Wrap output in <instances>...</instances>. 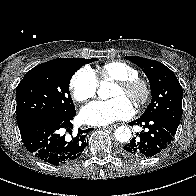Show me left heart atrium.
<instances>
[{
  "mask_svg": "<svg viewBox=\"0 0 196 196\" xmlns=\"http://www.w3.org/2000/svg\"><path fill=\"white\" fill-rule=\"evenodd\" d=\"M134 108L129 100L116 97L107 101H94L81 109L82 121L89 125L105 126L131 117Z\"/></svg>",
  "mask_w": 196,
  "mask_h": 196,
  "instance_id": "obj_1",
  "label": "left heart atrium"
}]
</instances>
